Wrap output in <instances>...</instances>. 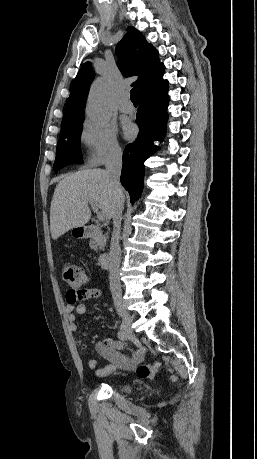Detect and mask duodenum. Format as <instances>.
<instances>
[{
	"instance_id": "1",
	"label": "duodenum",
	"mask_w": 257,
	"mask_h": 459,
	"mask_svg": "<svg viewBox=\"0 0 257 459\" xmlns=\"http://www.w3.org/2000/svg\"><path fill=\"white\" fill-rule=\"evenodd\" d=\"M100 235H101V229L98 226L93 225V224L78 228V236L81 238L97 237ZM108 261H109V256L107 253H103L98 257V264L102 268L107 266Z\"/></svg>"
}]
</instances>
